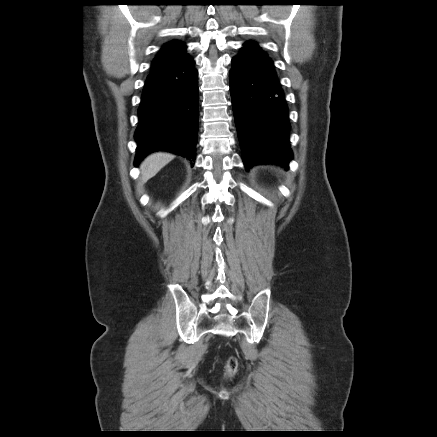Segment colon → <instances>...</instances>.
<instances>
[{
    "instance_id": "5ec220e1",
    "label": "colon",
    "mask_w": 437,
    "mask_h": 437,
    "mask_svg": "<svg viewBox=\"0 0 437 437\" xmlns=\"http://www.w3.org/2000/svg\"><path fill=\"white\" fill-rule=\"evenodd\" d=\"M238 370V360L235 357H229L226 362V374L233 376Z\"/></svg>"
}]
</instances>
